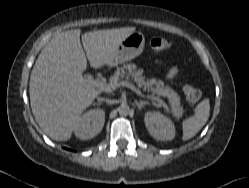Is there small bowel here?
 <instances>
[{"instance_id":"1","label":"small bowel","mask_w":249,"mask_h":188,"mask_svg":"<svg viewBox=\"0 0 249 188\" xmlns=\"http://www.w3.org/2000/svg\"><path fill=\"white\" fill-rule=\"evenodd\" d=\"M177 71L176 67H171L167 72L166 79H173L176 76Z\"/></svg>"}]
</instances>
